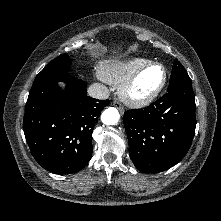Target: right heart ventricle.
I'll use <instances>...</instances> for the list:
<instances>
[{"label": "right heart ventricle", "instance_id": "1", "mask_svg": "<svg viewBox=\"0 0 221 221\" xmlns=\"http://www.w3.org/2000/svg\"><path fill=\"white\" fill-rule=\"evenodd\" d=\"M151 62L143 57H133L127 60H105L100 66V77L109 84L122 85L131 75Z\"/></svg>", "mask_w": 221, "mask_h": 221}]
</instances>
